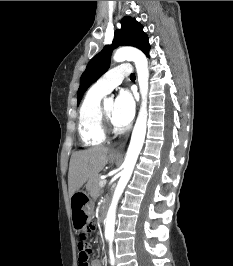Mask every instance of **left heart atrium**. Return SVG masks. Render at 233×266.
Listing matches in <instances>:
<instances>
[{
    "instance_id": "obj_1",
    "label": "left heart atrium",
    "mask_w": 233,
    "mask_h": 266,
    "mask_svg": "<svg viewBox=\"0 0 233 266\" xmlns=\"http://www.w3.org/2000/svg\"><path fill=\"white\" fill-rule=\"evenodd\" d=\"M135 99L128 91L123 90L115 100L113 121L117 126L128 125L135 115Z\"/></svg>"
}]
</instances>
